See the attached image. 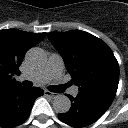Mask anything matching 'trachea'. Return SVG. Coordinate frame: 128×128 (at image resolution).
Segmentation results:
<instances>
[{"label":"trachea","mask_w":128,"mask_h":128,"mask_svg":"<svg viewBox=\"0 0 128 128\" xmlns=\"http://www.w3.org/2000/svg\"><path fill=\"white\" fill-rule=\"evenodd\" d=\"M22 84L25 87H31L32 86V82L27 81V80L24 81ZM66 87H67V85L50 86L49 90L52 92L60 93V92H63Z\"/></svg>","instance_id":"obj_1"}]
</instances>
